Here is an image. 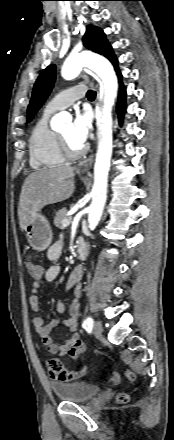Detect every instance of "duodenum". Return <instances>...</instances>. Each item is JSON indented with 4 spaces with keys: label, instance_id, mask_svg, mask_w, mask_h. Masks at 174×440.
<instances>
[{
    "label": "duodenum",
    "instance_id": "duodenum-1",
    "mask_svg": "<svg viewBox=\"0 0 174 440\" xmlns=\"http://www.w3.org/2000/svg\"><path fill=\"white\" fill-rule=\"evenodd\" d=\"M76 251L80 260L86 259L88 255V248L86 242L81 238L77 239L76 241Z\"/></svg>",
    "mask_w": 174,
    "mask_h": 440
}]
</instances>
